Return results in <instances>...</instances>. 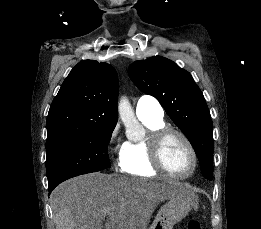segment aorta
<instances>
[{
	"mask_svg": "<svg viewBox=\"0 0 261 229\" xmlns=\"http://www.w3.org/2000/svg\"><path fill=\"white\" fill-rule=\"evenodd\" d=\"M118 112L124 127H126V131H131L132 135H136L137 133L139 139H144L145 133L135 131V127L136 125H139V123L135 117V112L127 96H121L118 102Z\"/></svg>",
	"mask_w": 261,
	"mask_h": 229,
	"instance_id": "obj_1",
	"label": "aorta"
}]
</instances>
